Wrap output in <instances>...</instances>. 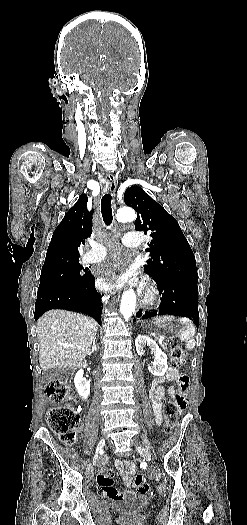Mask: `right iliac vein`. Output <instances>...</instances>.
I'll return each mask as SVG.
<instances>
[{
    "label": "right iliac vein",
    "instance_id": "1",
    "mask_svg": "<svg viewBox=\"0 0 247 525\" xmlns=\"http://www.w3.org/2000/svg\"><path fill=\"white\" fill-rule=\"evenodd\" d=\"M104 446H105V439L102 438L99 441L98 445H97L96 453H95V455L93 457V465H97L98 464V462H99V457L98 456H99V453L102 451Z\"/></svg>",
    "mask_w": 247,
    "mask_h": 525
}]
</instances>
